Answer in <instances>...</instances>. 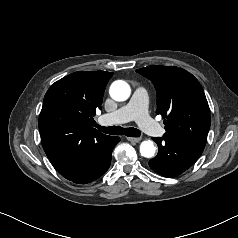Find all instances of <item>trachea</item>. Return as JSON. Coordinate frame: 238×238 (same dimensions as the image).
<instances>
[{
  "label": "trachea",
  "mask_w": 238,
  "mask_h": 238,
  "mask_svg": "<svg viewBox=\"0 0 238 238\" xmlns=\"http://www.w3.org/2000/svg\"><path fill=\"white\" fill-rule=\"evenodd\" d=\"M95 127L100 131L110 134V135H126L128 137H139L141 135V131L136 128H122L120 126H109L102 127L98 124H95Z\"/></svg>",
  "instance_id": "3493384b"
}]
</instances>
